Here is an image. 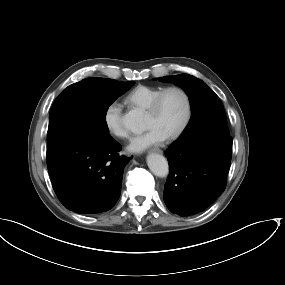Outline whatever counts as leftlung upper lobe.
Segmentation results:
<instances>
[{"instance_id": "obj_1", "label": "left lung upper lobe", "mask_w": 285, "mask_h": 285, "mask_svg": "<svg viewBox=\"0 0 285 285\" xmlns=\"http://www.w3.org/2000/svg\"><path fill=\"white\" fill-rule=\"evenodd\" d=\"M159 80L181 86L189 95L192 116L187 129L173 144L190 139L221 134L229 136L224 107L219 97L200 79L188 74L160 77Z\"/></svg>"}]
</instances>
